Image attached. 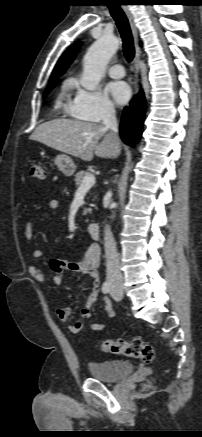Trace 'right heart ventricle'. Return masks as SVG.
<instances>
[{"mask_svg": "<svg viewBox=\"0 0 202 437\" xmlns=\"http://www.w3.org/2000/svg\"><path fill=\"white\" fill-rule=\"evenodd\" d=\"M71 86H72V84L70 82L63 85V87L58 95L57 101H56L57 106L63 105L68 109L69 105L65 104V99H66L67 93L70 90Z\"/></svg>", "mask_w": 202, "mask_h": 437, "instance_id": "right-heart-ventricle-1", "label": "right heart ventricle"}]
</instances>
